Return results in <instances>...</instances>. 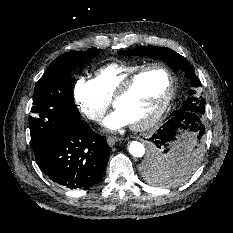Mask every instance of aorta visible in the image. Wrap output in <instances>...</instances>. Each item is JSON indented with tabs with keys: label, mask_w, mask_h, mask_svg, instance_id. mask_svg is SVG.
I'll list each match as a JSON object with an SVG mask.
<instances>
[{
	"label": "aorta",
	"mask_w": 233,
	"mask_h": 233,
	"mask_svg": "<svg viewBox=\"0 0 233 233\" xmlns=\"http://www.w3.org/2000/svg\"><path fill=\"white\" fill-rule=\"evenodd\" d=\"M130 154L134 157L140 158L145 154V147L138 141H132L128 148Z\"/></svg>",
	"instance_id": "aorta-1"
}]
</instances>
